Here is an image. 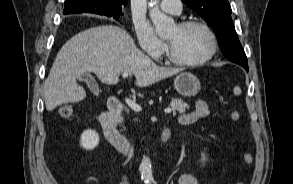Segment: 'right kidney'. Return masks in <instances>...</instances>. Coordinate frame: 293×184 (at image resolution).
Here are the masks:
<instances>
[{"label": "right kidney", "mask_w": 293, "mask_h": 184, "mask_svg": "<svg viewBox=\"0 0 293 184\" xmlns=\"http://www.w3.org/2000/svg\"><path fill=\"white\" fill-rule=\"evenodd\" d=\"M99 135L96 131L86 130L81 135V146L86 150H92L99 144Z\"/></svg>", "instance_id": "1"}]
</instances>
